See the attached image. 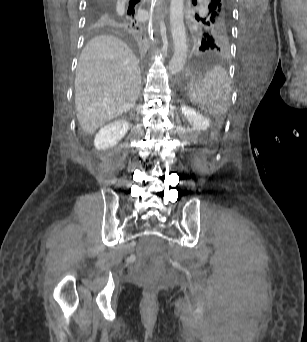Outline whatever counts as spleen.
<instances>
[{
  "mask_svg": "<svg viewBox=\"0 0 307 342\" xmlns=\"http://www.w3.org/2000/svg\"><path fill=\"white\" fill-rule=\"evenodd\" d=\"M200 82L203 83H187V90H191L190 100L202 104L207 114H225L230 100V78L226 70L222 66H213L201 76Z\"/></svg>",
  "mask_w": 307,
  "mask_h": 342,
  "instance_id": "spleen-1",
  "label": "spleen"
}]
</instances>
